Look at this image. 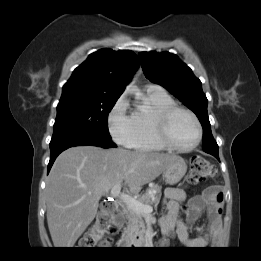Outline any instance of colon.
Returning a JSON list of instances; mask_svg holds the SVG:
<instances>
[{
    "label": "colon",
    "mask_w": 261,
    "mask_h": 261,
    "mask_svg": "<svg viewBox=\"0 0 261 261\" xmlns=\"http://www.w3.org/2000/svg\"><path fill=\"white\" fill-rule=\"evenodd\" d=\"M215 173L214 166L207 159L201 156H194L191 161V171L188 181L192 184H198L215 175ZM112 217V203L103 202L92 228L81 241V247L88 249L96 244L105 246L109 240L104 237V233Z\"/></svg>",
    "instance_id": "colon-1"
}]
</instances>
